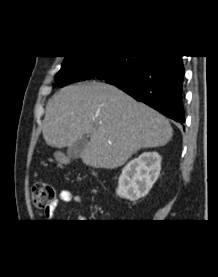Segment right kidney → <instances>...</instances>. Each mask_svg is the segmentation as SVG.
<instances>
[{
    "label": "right kidney",
    "instance_id": "1",
    "mask_svg": "<svg viewBox=\"0 0 218 277\" xmlns=\"http://www.w3.org/2000/svg\"><path fill=\"white\" fill-rule=\"evenodd\" d=\"M162 157L157 152H144L122 169L116 193L136 201L148 194L161 171Z\"/></svg>",
    "mask_w": 218,
    "mask_h": 277
}]
</instances>
